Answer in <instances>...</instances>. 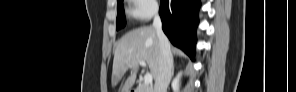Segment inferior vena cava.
I'll list each match as a JSON object with an SVG mask.
<instances>
[{
    "label": "inferior vena cava",
    "instance_id": "602c4592",
    "mask_svg": "<svg viewBox=\"0 0 296 92\" xmlns=\"http://www.w3.org/2000/svg\"><path fill=\"white\" fill-rule=\"evenodd\" d=\"M153 27L156 30L160 46L159 72L155 79L154 92H166L171 80L173 57L169 40L162 30V22L157 10L154 12Z\"/></svg>",
    "mask_w": 296,
    "mask_h": 92
}]
</instances>
